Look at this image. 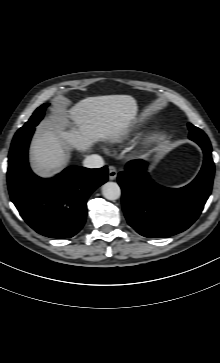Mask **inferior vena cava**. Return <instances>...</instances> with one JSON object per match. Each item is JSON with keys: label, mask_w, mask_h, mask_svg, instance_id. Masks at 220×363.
Masks as SVG:
<instances>
[{"label": "inferior vena cava", "mask_w": 220, "mask_h": 363, "mask_svg": "<svg viewBox=\"0 0 220 363\" xmlns=\"http://www.w3.org/2000/svg\"><path fill=\"white\" fill-rule=\"evenodd\" d=\"M83 165L86 168H101L104 166V160L101 156L93 154L84 159Z\"/></svg>", "instance_id": "1"}]
</instances>
